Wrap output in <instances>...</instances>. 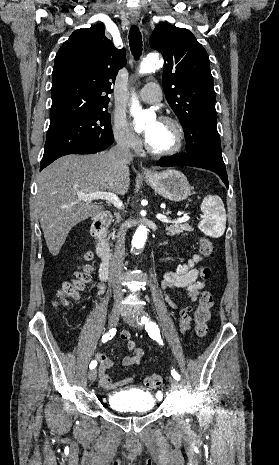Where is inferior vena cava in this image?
I'll return each mask as SVG.
<instances>
[{
    "mask_svg": "<svg viewBox=\"0 0 279 465\" xmlns=\"http://www.w3.org/2000/svg\"><path fill=\"white\" fill-rule=\"evenodd\" d=\"M107 156L110 159H113L116 164H121L123 162H130L133 160V155L123 139H118L117 144L112 147ZM118 221L120 217L117 216ZM125 255V228L124 225L120 226L119 232L117 234V240L115 244L114 255L111 259L110 264V275L113 279V292L114 298L116 301L122 299L121 286L119 285V278L122 273V266Z\"/></svg>",
    "mask_w": 279,
    "mask_h": 465,
    "instance_id": "obj_1",
    "label": "inferior vena cava"
}]
</instances>
